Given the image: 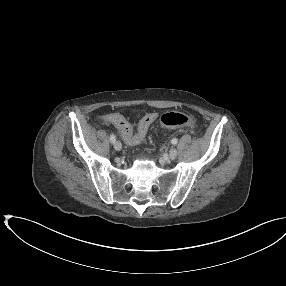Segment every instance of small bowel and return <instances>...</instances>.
Returning <instances> with one entry per match:
<instances>
[{
  "label": "small bowel",
  "instance_id": "obj_1",
  "mask_svg": "<svg viewBox=\"0 0 286 286\" xmlns=\"http://www.w3.org/2000/svg\"><path fill=\"white\" fill-rule=\"evenodd\" d=\"M104 121L106 123L114 125L118 131L121 134V137L123 140L129 144V145H135L132 142L134 132H133V126L131 123H129L121 114L119 113H110L104 116ZM157 119L156 113H149L145 115L139 122L142 123L143 121H148L149 127L150 125Z\"/></svg>",
  "mask_w": 286,
  "mask_h": 286
}]
</instances>
